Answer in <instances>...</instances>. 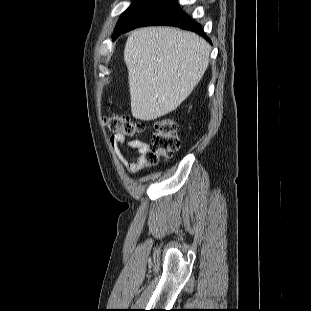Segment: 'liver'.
<instances>
[{"mask_svg":"<svg viewBox=\"0 0 311 311\" xmlns=\"http://www.w3.org/2000/svg\"><path fill=\"white\" fill-rule=\"evenodd\" d=\"M211 46L171 27L133 31L124 48L133 117L150 121L174 111L204 75Z\"/></svg>","mask_w":311,"mask_h":311,"instance_id":"liver-1","label":"liver"}]
</instances>
